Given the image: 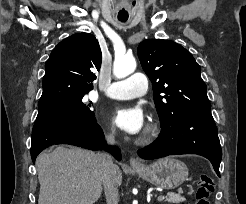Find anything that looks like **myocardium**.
<instances>
[{
	"label": "myocardium",
	"instance_id": "1",
	"mask_svg": "<svg viewBox=\"0 0 246 204\" xmlns=\"http://www.w3.org/2000/svg\"><path fill=\"white\" fill-rule=\"evenodd\" d=\"M157 128L155 125H149L146 130L144 131L143 135L140 137L139 142L141 143H148L150 142L153 137L156 135Z\"/></svg>",
	"mask_w": 246,
	"mask_h": 204
}]
</instances>
